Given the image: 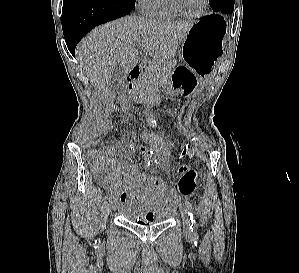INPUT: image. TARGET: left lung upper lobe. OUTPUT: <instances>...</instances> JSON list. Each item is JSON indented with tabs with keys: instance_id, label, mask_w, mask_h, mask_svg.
I'll list each match as a JSON object with an SVG mask.
<instances>
[{
	"instance_id": "obj_1",
	"label": "left lung upper lobe",
	"mask_w": 299,
	"mask_h": 273,
	"mask_svg": "<svg viewBox=\"0 0 299 273\" xmlns=\"http://www.w3.org/2000/svg\"><path fill=\"white\" fill-rule=\"evenodd\" d=\"M210 6L212 7L213 11H220V9L225 7L234 6V0H209Z\"/></svg>"
}]
</instances>
